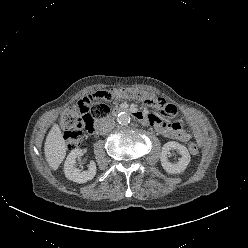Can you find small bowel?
<instances>
[{
	"label": "small bowel",
	"instance_id": "c3829d8e",
	"mask_svg": "<svg viewBox=\"0 0 248 248\" xmlns=\"http://www.w3.org/2000/svg\"><path fill=\"white\" fill-rule=\"evenodd\" d=\"M151 119L157 131L165 137L173 138L181 142H188L192 137H195L199 141L202 140V133L191 118H187L186 121L192 129L193 135L187 133L180 122L167 124L159 120L156 116H152Z\"/></svg>",
	"mask_w": 248,
	"mask_h": 248
}]
</instances>
